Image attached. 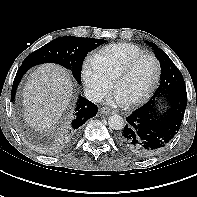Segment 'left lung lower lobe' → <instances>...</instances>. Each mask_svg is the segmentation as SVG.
<instances>
[{"mask_svg":"<svg viewBox=\"0 0 197 197\" xmlns=\"http://www.w3.org/2000/svg\"><path fill=\"white\" fill-rule=\"evenodd\" d=\"M167 108L159 110L157 100L148 101L126 118L117 143L128 154L144 159L162 151L181 126L187 106L186 89H174L164 96Z\"/></svg>","mask_w":197,"mask_h":197,"instance_id":"left-lung-lower-lobe-1","label":"left lung lower lobe"}]
</instances>
